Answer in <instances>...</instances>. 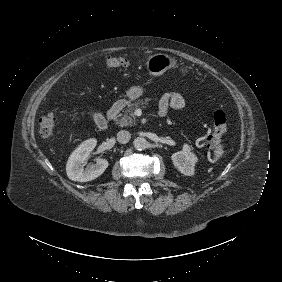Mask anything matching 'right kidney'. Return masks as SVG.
I'll list each match as a JSON object with an SVG mask.
<instances>
[{
  "label": "right kidney",
  "mask_w": 282,
  "mask_h": 282,
  "mask_svg": "<svg viewBox=\"0 0 282 282\" xmlns=\"http://www.w3.org/2000/svg\"><path fill=\"white\" fill-rule=\"evenodd\" d=\"M96 143L95 139L87 140L72 153L66 167L69 179L76 182H87L103 174L108 167L106 159L96 158L95 164H89L83 169L85 162L92 157L91 152Z\"/></svg>",
  "instance_id": "right-kidney-1"
}]
</instances>
